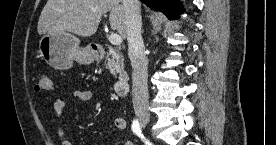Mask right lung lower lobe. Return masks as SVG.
<instances>
[{
    "mask_svg": "<svg viewBox=\"0 0 276 145\" xmlns=\"http://www.w3.org/2000/svg\"><path fill=\"white\" fill-rule=\"evenodd\" d=\"M148 7L163 12L169 19H178L183 12L179 0H141Z\"/></svg>",
    "mask_w": 276,
    "mask_h": 145,
    "instance_id": "right-lung-lower-lobe-1",
    "label": "right lung lower lobe"
}]
</instances>
